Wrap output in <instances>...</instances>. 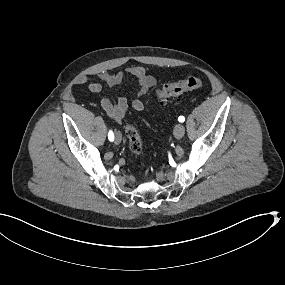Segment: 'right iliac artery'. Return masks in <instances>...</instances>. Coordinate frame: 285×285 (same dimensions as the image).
Segmentation results:
<instances>
[{
    "mask_svg": "<svg viewBox=\"0 0 285 285\" xmlns=\"http://www.w3.org/2000/svg\"><path fill=\"white\" fill-rule=\"evenodd\" d=\"M108 139H109L110 141H113V140H114V134H113L112 131H109V133H108Z\"/></svg>",
    "mask_w": 285,
    "mask_h": 285,
    "instance_id": "82829eb1",
    "label": "right iliac artery"
}]
</instances>
